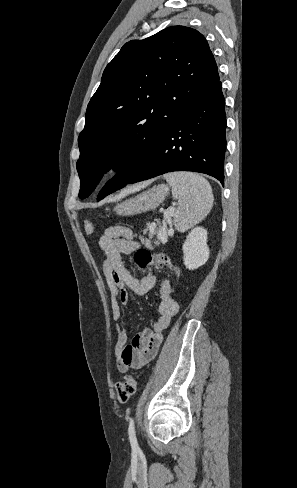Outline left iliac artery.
<instances>
[{"instance_id": "left-iliac-artery-1", "label": "left iliac artery", "mask_w": 297, "mask_h": 488, "mask_svg": "<svg viewBox=\"0 0 297 488\" xmlns=\"http://www.w3.org/2000/svg\"><path fill=\"white\" fill-rule=\"evenodd\" d=\"M129 440L131 444L132 451L137 452L139 450L136 434H135V427H134V420L130 418L129 428H128Z\"/></svg>"}]
</instances>
